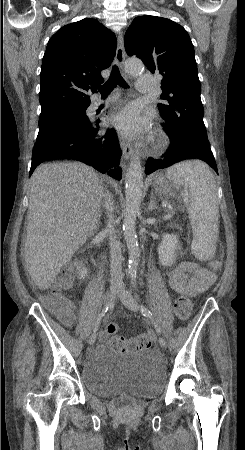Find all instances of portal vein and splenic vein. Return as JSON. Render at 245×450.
I'll list each match as a JSON object with an SVG mask.
<instances>
[{
  "mask_svg": "<svg viewBox=\"0 0 245 450\" xmlns=\"http://www.w3.org/2000/svg\"><path fill=\"white\" fill-rule=\"evenodd\" d=\"M187 202H188L187 199H185V203H186V204H187ZM171 215H172V214H168V215H166L164 218H169V217H171Z\"/></svg>",
  "mask_w": 245,
  "mask_h": 450,
  "instance_id": "portal-vein-and-splenic-vein-1",
  "label": "portal vein and splenic vein"
}]
</instances>
